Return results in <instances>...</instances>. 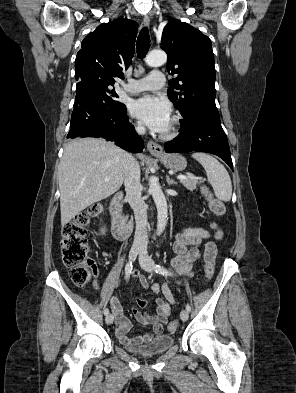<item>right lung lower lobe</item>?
<instances>
[{
  "mask_svg": "<svg viewBox=\"0 0 296 393\" xmlns=\"http://www.w3.org/2000/svg\"><path fill=\"white\" fill-rule=\"evenodd\" d=\"M78 136L102 137L133 153L141 152L144 148L143 140L128 120L126 107L112 108L82 81L76 86L74 110L67 137Z\"/></svg>",
  "mask_w": 296,
  "mask_h": 393,
  "instance_id": "1",
  "label": "right lung lower lobe"
}]
</instances>
